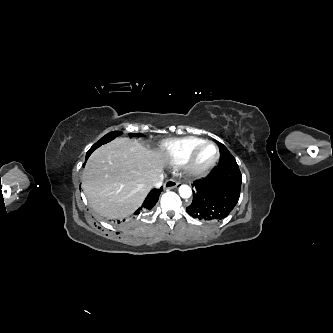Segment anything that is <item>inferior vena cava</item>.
Instances as JSON below:
<instances>
[{
	"mask_svg": "<svg viewBox=\"0 0 333 333\" xmlns=\"http://www.w3.org/2000/svg\"><path fill=\"white\" fill-rule=\"evenodd\" d=\"M163 184V175L161 174L156 182L153 183L152 187L159 189Z\"/></svg>",
	"mask_w": 333,
	"mask_h": 333,
	"instance_id": "inferior-vena-cava-1",
	"label": "inferior vena cava"
}]
</instances>
